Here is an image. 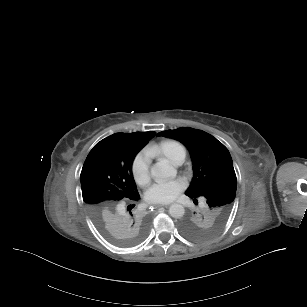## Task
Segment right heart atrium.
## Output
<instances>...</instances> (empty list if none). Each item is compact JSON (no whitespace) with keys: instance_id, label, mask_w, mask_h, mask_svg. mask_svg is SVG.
I'll list each match as a JSON object with an SVG mask.
<instances>
[{"instance_id":"obj_1","label":"right heart atrium","mask_w":307,"mask_h":307,"mask_svg":"<svg viewBox=\"0 0 307 307\" xmlns=\"http://www.w3.org/2000/svg\"><path fill=\"white\" fill-rule=\"evenodd\" d=\"M132 172L137 181H143L149 177V162L144 153L140 152L134 157Z\"/></svg>"}]
</instances>
